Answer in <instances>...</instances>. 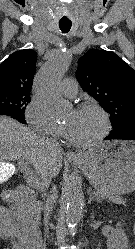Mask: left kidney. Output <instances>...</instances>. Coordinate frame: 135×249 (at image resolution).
I'll use <instances>...</instances> for the list:
<instances>
[{
	"instance_id": "left-kidney-1",
	"label": "left kidney",
	"mask_w": 135,
	"mask_h": 249,
	"mask_svg": "<svg viewBox=\"0 0 135 249\" xmlns=\"http://www.w3.org/2000/svg\"><path fill=\"white\" fill-rule=\"evenodd\" d=\"M127 247L128 238L121 227V223H118L108 238L107 249H127Z\"/></svg>"
}]
</instances>
